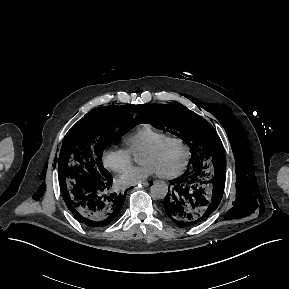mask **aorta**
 <instances>
[{
    "label": "aorta",
    "instance_id": "1",
    "mask_svg": "<svg viewBox=\"0 0 289 289\" xmlns=\"http://www.w3.org/2000/svg\"><path fill=\"white\" fill-rule=\"evenodd\" d=\"M151 196L155 199H164L168 193V185L164 181H157L151 186Z\"/></svg>",
    "mask_w": 289,
    "mask_h": 289
}]
</instances>
